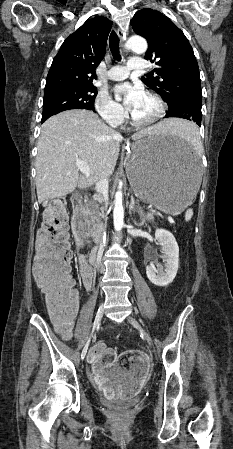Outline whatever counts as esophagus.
Returning a JSON list of instances; mask_svg holds the SVG:
<instances>
[{"instance_id":"34e87169","label":"esophagus","mask_w":233,"mask_h":449,"mask_svg":"<svg viewBox=\"0 0 233 449\" xmlns=\"http://www.w3.org/2000/svg\"><path fill=\"white\" fill-rule=\"evenodd\" d=\"M117 34H118L121 42H124L126 40L127 32L122 27H119L117 29Z\"/></svg>"}]
</instances>
